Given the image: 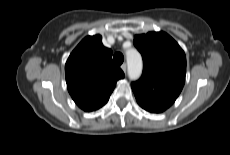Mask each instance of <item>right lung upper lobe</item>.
Returning <instances> with one entry per match:
<instances>
[{
  "instance_id": "cb5924a9",
  "label": "right lung upper lobe",
  "mask_w": 230,
  "mask_h": 155,
  "mask_svg": "<svg viewBox=\"0 0 230 155\" xmlns=\"http://www.w3.org/2000/svg\"><path fill=\"white\" fill-rule=\"evenodd\" d=\"M65 74L72 99L87 112L104 106L117 80L124 78L100 35L87 36L78 44L66 62Z\"/></svg>"
}]
</instances>
